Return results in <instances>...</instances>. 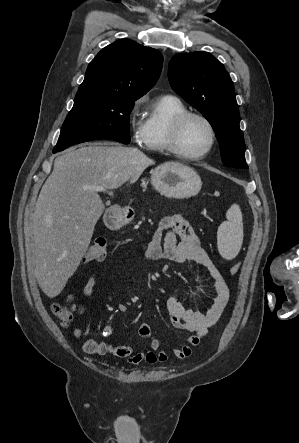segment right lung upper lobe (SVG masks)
<instances>
[{
  "label": "right lung upper lobe",
  "mask_w": 299,
  "mask_h": 443,
  "mask_svg": "<svg viewBox=\"0 0 299 443\" xmlns=\"http://www.w3.org/2000/svg\"><path fill=\"white\" fill-rule=\"evenodd\" d=\"M162 63L158 50L120 39L89 63L77 93L98 92L137 100L155 85Z\"/></svg>",
  "instance_id": "obj_1"
}]
</instances>
